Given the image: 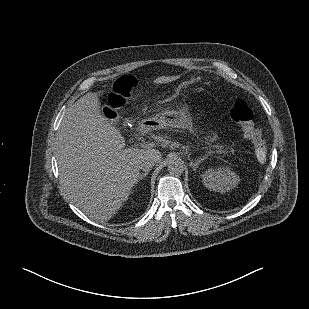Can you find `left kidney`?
<instances>
[{
    "mask_svg": "<svg viewBox=\"0 0 309 309\" xmlns=\"http://www.w3.org/2000/svg\"><path fill=\"white\" fill-rule=\"evenodd\" d=\"M204 186L217 192H226L236 187L239 176L230 167L209 168L202 175Z\"/></svg>",
    "mask_w": 309,
    "mask_h": 309,
    "instance_id": "5707ae66",
    "label": "left kidney"
}]
</instances>
